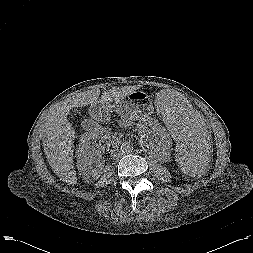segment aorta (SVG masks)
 <instances>
[{"label":"aorta","instance_id":"aorta-1","mask_svg":"<svg viewBox=\"0 0 253 253\" xmlns=\"http://www.w3.org/2000/svg\"><path fill=\"white\" fill-rule=\"evenodd\" d=\"M121 150L123 153H126V154L130 153L133 150V145L128 141H124L121 143Z\"/></svg>","mask_w":253,"mask_h":253}]
</instances>
